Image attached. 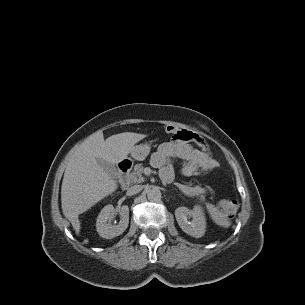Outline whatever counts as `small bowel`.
Returning a JSON list of instances; mask_svg holds the SVG:
<instances>
[{"instance_id":"small-bowel-1","label":"small bowel","mask_w":305,"mask_h":305,"mask_svg":"<svg viewBox=\"0 0 305 305\" xmlns=\"http://www.w3.org/2000/svg\"><path fill=\"white\" fill-rule=\"evenodd\" d=\"M183 131L184 138L174 137L171 141L160 145L151 156V164L160 169V178L166 183L174 177L172 159H182L205 170H212L217 166L204 140L191 131ZM190 143L197 144L198 148Z\"/></svg>"}]
</instances>
